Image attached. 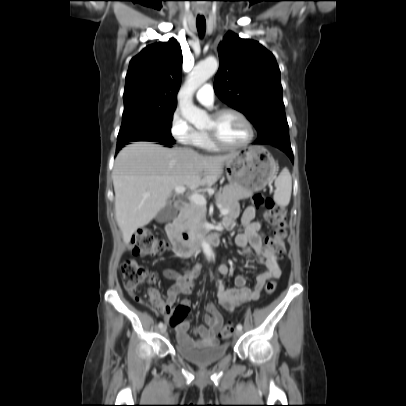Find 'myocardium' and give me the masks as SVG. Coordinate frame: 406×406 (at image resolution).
Masks as SVG:
<instances>
[{"label": "myocardium", "instance_id": "1", "mask_svg": "<svg viewBox=\"0 0 406 406\" xmlns=\"http://www.w3.org/2000/svg\"><path fill=\"white\" fill-rule=\"evenodd\" d=\"M226 113H233L235 115H237L246 125L247 129H248V135L246 137V139L237 145H230V144H226L224 143L218 136V134L216 133V131L214 130H206V134L209 136L210 140L212 141V143L220 149H224V150H237V149H241L246 147L247 145H249L255 136V130H254V126L252 124V122L249 120V118L239 109L234 108V107H224V108H220L216 111H214L211 114V117L213 119H218L220 118L222 115L226 114Z\"/></svg>", "mask_w": 406, "mask_h": 406}]
</instances>
